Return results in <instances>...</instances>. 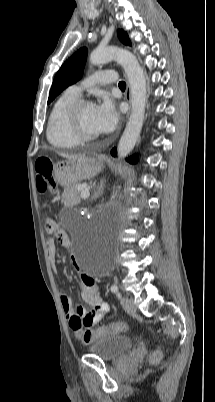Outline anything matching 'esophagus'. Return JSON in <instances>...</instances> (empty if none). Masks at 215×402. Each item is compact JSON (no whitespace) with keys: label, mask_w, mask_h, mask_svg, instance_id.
<instances>
[{"label":"esophagus","mask_w":215,"mask_h":402,"mask_svg":"<svg viewBox=\"0 0 215 402\" xmlns=\"http://www.w3.org/2000/svg\"><path fill=\"white\" fill-rule=\"evenodd\" d=\"M125 98H126V101L128 102V104L131 105V89H130V86H129V85H127V89H126V93H125ZM128 116H129V113H128L127 117H128Z\"/></svg>","instance_id":"esophagus-1"}]
</instances>
